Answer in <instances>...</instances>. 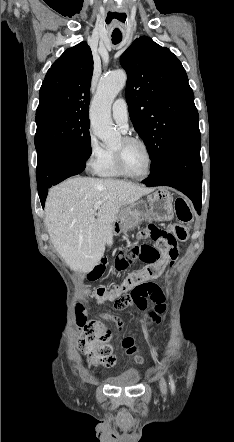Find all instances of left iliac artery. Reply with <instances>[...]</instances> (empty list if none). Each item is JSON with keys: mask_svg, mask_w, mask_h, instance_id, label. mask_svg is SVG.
I'll return each mask as SVG.
<instances>
[{"mask_svg": "<svg viewBox=\"0 0 234 442\" xmlns=\"http://www.w3.org/2000/svg\"><path fill=\"white\" fill-rule=\"evenodd\" d=\"M169 378H170L171 391H172V393H174L175 392V384H174V381H173L171 375L169 376Z\"/></svg>", "mask_w": 234, "mask_h": 442, "instance_id": "left-iliac-artery-1", "label": "left iliac artery"}]
</instances>
